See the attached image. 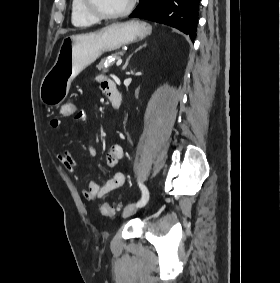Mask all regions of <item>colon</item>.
<instances>
[{"label":"colon","mask_w":280,"mask_h":283,"mask_svg":"<svg viewBox=\"0 0 280 283\" xmlns=\"http://www.w3.org/2000/svg\"><path fill=\"white\" fill-rule=\"evenodd\" d=\"M60 115L62 119H71L72 116H76V112H80V107H77V103L70 100L69 103H61ZM117 211V208L108 204L101 206V214L105 217L113 216Z\"/></svg>","instance_id":"5ec220e1"}]
</instances>
